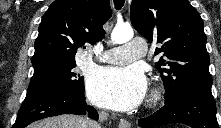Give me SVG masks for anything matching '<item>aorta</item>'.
<instances>
[{
  "mask_svg": "<svg viewBox=\"0 0 221 128\" xmlns=\"http://www.w3.org/2000/svg\"><path fill=\"white\" fill-rule=\"evenodd\" d=\"M134 36L133 29L127 25H116L111 33L113 44H123L130 41Z\"/></svg>",
  "mask_w": 221,
  "mask_h": 128,
  "instance_id": "obj_1",
  "label": "aorta"
}]
</instances>
